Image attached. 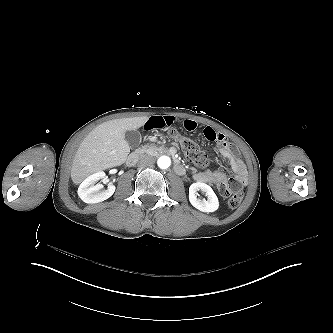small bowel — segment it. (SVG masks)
Masks as SVG:
<instances>
[{
    "label": "small bowel",
    "mask_w": 333,
    "mask_h": 333,
    "mask_svg": "<svg viewBox=\"0 0 333 333\" xmlns=\"http://www.w3.org/2000/svg\"><path fill=\"white\" fill-rule=\"evenodd\" d=\"M181 125L188 131H195L198 127L197 122L191 118H179V117H152L146 121L143 125L144 131H149L154 128H162L169 125ZM206 139L209 141H220V153L228 161L231 166L232 173L230 179L237 182L240 186L244 187L248 184V176L245 168V164L238 152L231 146L228 140L218 131L211 127H206L203 131ZM194 179L198 182L210 183L214 187L219 188L222 184L228 182V175L221 171H205L198 172L194 175Z\"/></svg>",
    "instance_id": "c3829d8e"
}]
</instances>
